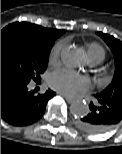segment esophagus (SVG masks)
<instances>
[{"label":"esophagus","instance_id":"34e87169","mask_svg":"<svg viewBox=\"0 0 122 154\" xmlns=\"http://www.w3.org/2000/svg\"><path fill=\"white\" fill-rule=\"evenodd\" d=\"M59 95H62V96L66 99V101H67L68 103H72V102L75 101V98L66 96V95H64V94H62V93H59Z\"/></svg>","mask_w":122,"mask_h":154}]
</instances>
